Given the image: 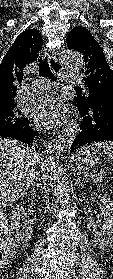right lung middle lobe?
<instances>
[{
    "label": "right lung middle lobe",
    "instance_id": "obj_1",
    "mask_svg": "<svg viewBox=\"0 0 113 279\" xmlns=\"http://www.w3.org/2000/svg\"><path fill=\"white\" fill-rule=\"evenodd\" d=\"M27 120L15 103L0 108V128L19 125Z\"/></svg>",
    "mask_w": 113,
    "mask_h": 279
}]
</instances>
